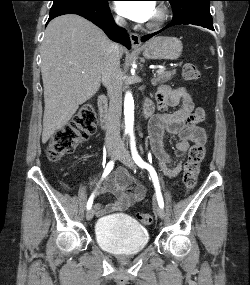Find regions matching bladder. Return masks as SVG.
Returning a JSON list of instances; mask_svg holds the SVG:
<instances>
[{
	"mask_svg": "<svg viewBox=\"0 0 250 285\" xmlns=\"http://www.w3.org/2000/svg\"><path fill=\"white\" fill-rule=\"evenodd\" d=\"M94 236L103 250L118 256L137 254L149 242L147 229L125 216L99 219L94 228Z\"/></svg>",
	"mask_w": 250,
	"mask_h": 285,
	"instance_id": "31cf9c89",
	"label": "bladder"
}]
</instances>
